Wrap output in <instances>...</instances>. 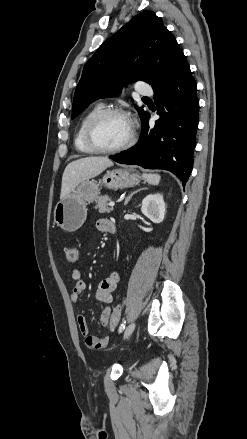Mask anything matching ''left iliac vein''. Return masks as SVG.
<instances>
[{"label":"left iliac vein","instance_id":"left-iliac-vein-1","mask_svg":"<svg viewBox=\"0 0 247 439\" xmlns=\"http://www.w3.org/2000/svg\"><path fill=\"white\" fill-rule=\"evenodd\" d=\"M135 326H136L135 322H132L131 324L128 325V327L124 332V339H127L132 334V332L135 329Z\"/></svg>","mask_w":247,"mask_h":439}]
</instances>
